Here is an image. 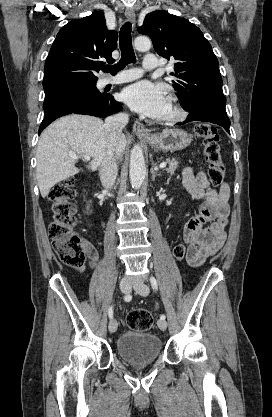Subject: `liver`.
I'll use <instances>...</instances> for the list:
<instances>
[{
	"label": "liver",
	"mask_w": 272,
	"mask_h": 417,
	"mask_svg": "<svg viewBox=\"0 0 272 417\" xmlns=\"http://www.w3.org/2000/svg\"><path fill=\"white\" fill-rule=\"evenodd\" d=\"M107 137L103 121L93 116L72 114L47 127L41 134L36 153V176L41 196L45 198L55 184L79 172L75 167L77 159L71 158L70 152L92 157L89 164L92 171L101 166L109 149L121 160L126 137L122 134L113 147Z\"/></svg>",
	"instance_id": "1"
}]
</instances>
